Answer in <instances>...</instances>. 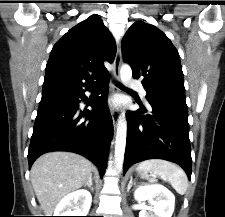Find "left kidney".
<instances>
[{
	"instance_id": "obj_1",
	"label": "left kidney",
	"mask_w": 225,
	"mask_h": 217,
	"mask_svg": "<svg viewBox=\"0 0 225 217\" xmlns=\"http://www.w3.org/2000/svg\"><path fill=\"white\" fill-rule=\"evenodd\" d=\"M137 201L148 200L152 206L143 208L139 217H171L175 206V196L163 185L139 186L134 192Z\"/></svg>"
}]
</instances>
